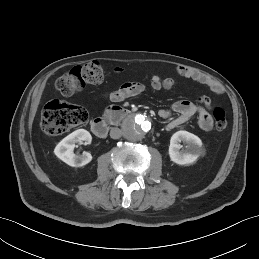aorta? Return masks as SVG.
Instances as JSON below:
<instances>
[{"label":"aorta","mask_w":259,"mask_h":259,"mask_svg":"<svg viewBox=\"0 0 259 259\" xmlns=\"http://www.w3.org/2000/svg\"><path fill=\"white\" fill-rule=\"evenodd\" d=\"M151 129L150 121L143 115L130 117L124 124V132L130 140H140Z\"/></svg>","instance_id":"obj_1"}]
</instances>
